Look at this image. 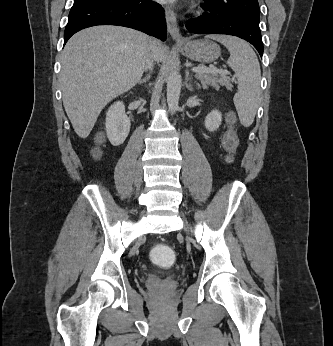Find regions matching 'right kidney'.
I'll use <instances>...</instances> for the list:
<instances>
[{"label":"right kidney","instance_id":"1","mask_svg":"<svg viewBox=\"0 0 333 346\" xmlns=\"http://www.w3.org/2000/svg\"><path fill=\"white\" fill-rule=\"evenodd\" d=\"M130 119L125 114V106L122 101L111 105L106 114V133L113 146L121 145L130 131Z\"/></svg>","mask_w":333,"mask_h":346}]
</instances>
